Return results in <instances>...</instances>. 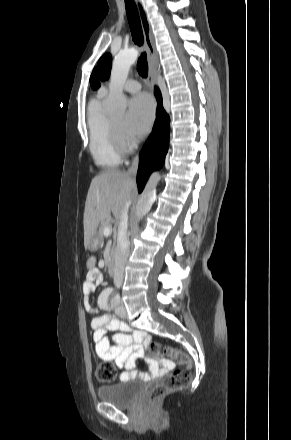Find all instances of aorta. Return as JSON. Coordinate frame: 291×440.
<instances>
[{
	"instance_id": "obj_1",
	"label": "aorta",
	"mask_w": 291,
	"mask_h": 440,
	"mask_svg": "<svg viewBox=\"0 0 291 440\" xmlns=\"http://www.w3.org/2000/svg\"><path fill=\"white\" fill-rule=\"evenodd\" d=\"M138 58V51L134 48L120 51L114 58L110 83H109V95L105 100V111L112 116H120L124 114L127 102L126 97L123 94V86L127 79L130 67L135 63ZM155 199V190L147 187L141 196L138 204L136 215L141 219L147 214ZM115 301V299H113Z\"/></svg>"
}]
</instances>
